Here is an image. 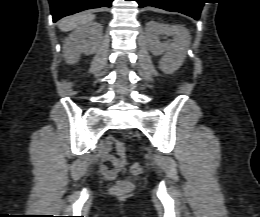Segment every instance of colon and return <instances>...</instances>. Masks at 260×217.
I'll return each instance as SVG.
<instances>
[{
  "label": "colon",
  "instance_id": "1",
  "mask_svg": "<svg viewBox=\"0 0 260 217\" xmlns=\"http://www.w3.org/2000/svg\"><path fill=\"white\" fill-rule=\"evenodd\" d=\"M143 171V164L135 162L131 166V172L133 174H140ZM128 189V184L125 181H118L114 187L113 191L116 193H123Z\"/></svg>",
  "mask_w": 260,
  "mask_h": 217
}]
</instances>
